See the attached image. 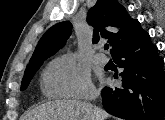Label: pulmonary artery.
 <instances>
[{
  "instance_id": "e3ab8cb5",
  "label": "pulmonary artery",
  "mask_w": 165,
  "mask_h": 120,
  "mask_svg": "<svg viewBox=\"0 0 165 120\" xmlns=\"http://www.w3.org/2000/svg\"><path fill=\"white\" fill-rule=\"evenodd\" d=\"M108 57L103 53H98L95 56V61L100 65H105L108 63Z\"/></svg>"
}]
</instances>
